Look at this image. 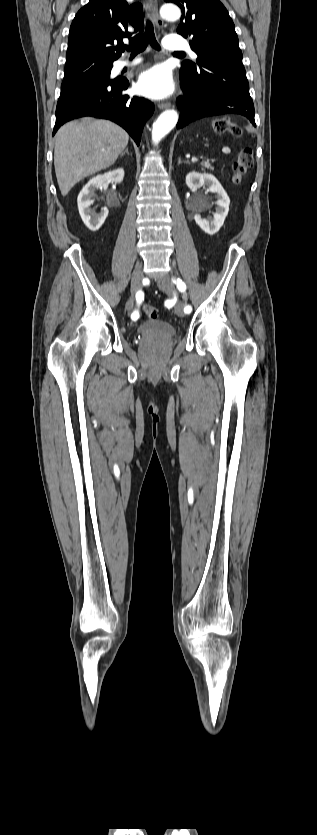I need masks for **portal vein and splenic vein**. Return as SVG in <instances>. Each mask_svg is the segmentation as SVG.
<instances>
[{
  "label": "portal vein and splenic vein",
  "instance_id": "obj_1",
  "mask_svg": "<svg viewBox=\"0 0 317 835\" xmlns=\"http://www.w3.org/2000/svg\"><path fill=\"white\" fill-rule=\"evenodd\" d=\"M196 160H197V158H192V161H196Z\"/></svg>",
  "mask_w": 317,
  "mask_h": 835
}]
</instances>
